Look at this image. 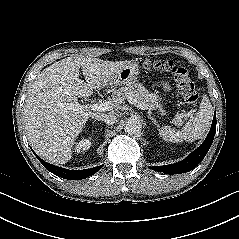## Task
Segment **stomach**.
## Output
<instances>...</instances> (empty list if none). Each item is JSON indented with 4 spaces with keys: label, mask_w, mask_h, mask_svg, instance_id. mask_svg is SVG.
<instances>
[{
    "label": "stomach",
    "mask_w": 239,
    "mask_h": 239,
    "mask_svg": "<svg viewBox=\"0 0 239 239\" xmlns=\"http://www.w3.org/2000/svg\"><path fill=\"white\" fill-rule=\"evenodd\" d=\"M138 74V64L135 61H126L114 72L108 84L112 88L129 84L137 79ZM157 107H159L160 112H164L160 104Z\"/></svg>",
    "instance_id": "1"
}]
</instances>
